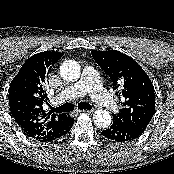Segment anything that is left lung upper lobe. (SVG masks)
Listing matches in <instances>:
<instances>
[{"label": "left lung upper lobe", "mask_w": 174, "mask_h": 174, "mask_svg": "<svg viewBox=\"0 0 174 174\" xmlns=\"http://www.w3.org/2000/svg\"><path fill=\"white\" fill-rule=\"evenodd\" d=\"M91 54L121 98L122 109L113 114V119L145 130L155 112L154 87L148 75L135 60L120 51L93 50Z\"/></svg>", "instance_id": "left-lung-upper-lobe-1"}]
</instances>
